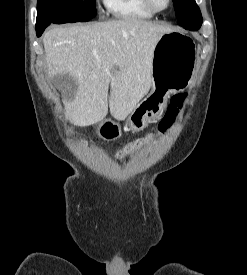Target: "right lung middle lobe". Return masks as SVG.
<instances>
[{
	"instance_id": "dd1d6c3e",
	"label": "right lung middle lobe",
	"mask_w": 247,
	"mask_h": 275,
	"mask_svg": "<svg viewBox=\"0 0 247 275\" xmlns=\"http://www.w3.org/2000/svg\"><path fill=\"white\" fill-rule=\"evenodd\" d=\"M95 16V0H38L36 26L87 22Z\"/></svg>"
}]
</instances>
